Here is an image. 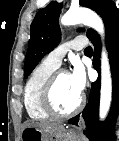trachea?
I'll return each mask as SVG.
<instances>
[{"mask_svg": "<svg viewBox=\"0 0 119 141\" xmlns=\"http://www.w3.org/2000/svg\"><path fill=\"white\" fill-rule=\"evenodd\" d=\"M93 50H92V48L91 47H87L85 50H84V52H92Z\"/></svg>", "mask_w": 119, "mask_h": 141, "instance_id": "trachea-1", "label": "trachea"}]
</instances>
